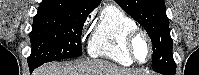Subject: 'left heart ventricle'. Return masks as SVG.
Returning a JSON list of instances; mask_svg holds the SVG:
<instances>
[{"mask_svg":"<svg viewBox=\"0 0 199 75\" xmlns=\"http://www.w3.org/2000/svg\"><path fill=\"white\" fill-rule=\"evenodd\" d=\"M134 52L140 62H145L149 56V45L145 38L138 36L134 41Z\"/></svg>","mask_w":199,"mask_h":75,"instance_id":"1","label":"left heart ventricle"}]
</instances>
